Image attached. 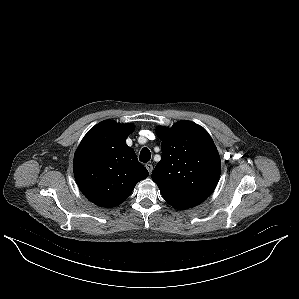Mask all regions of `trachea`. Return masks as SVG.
Returning <instances> with one entry per match:
<instances>
[{
    "instance_id": "obj_1",
    "label": "trachea",
    "mask_w": 299,
    "mask_h": 299,
    "mask_svg": "<svg viewBox=\"0 0 299 299\" xmlns=\"http://www.w3.org/2000/svg\"><path fill=\"white\" fill-rule=\"evenodd\" d=\"M151 158V152L148 148H143L140 152L139 159L141 162L146 163L150 160Z\"/></svg>"
}]
</instances>
